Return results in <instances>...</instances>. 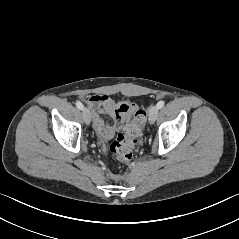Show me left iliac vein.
I'll return each instance as SVG.
<instances>
[{
    "mask_svg": "<svg viewBox=\"0 0 239 239\" xmlns=\"http://www.w3.org/2000/svg\"><path fill=\"white\" fill-rule=\"evenodd\" d=\"M158 115V107L152 106L149 110V122L150 124H153L157 118Z\"/></svg>",
    "mask_w": 239,
    "mask_h": 239,
    "instance_id": "4c4485c4",
    "label": "left iliac vein"
}]
</instances>
